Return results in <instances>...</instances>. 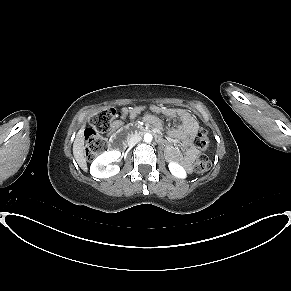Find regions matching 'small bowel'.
<instances>
[{
  "label": "small bowel",
  "instance_id": "small-bowel-1",
  "mask_svg": "<svg viewBox=\"0 0 291 291\" xmlns=\"http://www.w3.org/2000/svg\"><path fill=\"white\" fill-rule=\"evenodd\" d=\"M143 108L138 106L134 108H123L122 109V116L120 119L113 122L111 126V131L109 137L114 140V136L117 135V132L123 127L124 119L129 116L130 118L137 117ZM151 111L156 114H162L165 117L178 119L180 121V126L173 128L170 131L171 137L175 139H179L183 141L185 145L184 153H180V151L175 148L171 144H167L166 146V153L169 159L177 162H181L183 166L188 169L191 163L198 157L197 149L192 145V138L197 133L199 129L198 122L195 118L186 110L184 109H176V108H165V107H158L152 106ZM145 122L155 126L160 127L161 121L155 115H146Z\"/></svg>",
  "mask_w": 291,
  "mask_h": 291
}]
</instances>
